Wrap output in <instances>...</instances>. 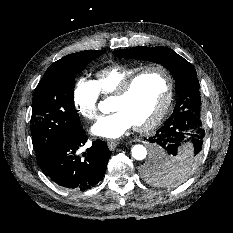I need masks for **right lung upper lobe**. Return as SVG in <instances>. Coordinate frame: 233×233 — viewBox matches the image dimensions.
<instances>
[{
  "label": "right lung upper lobe",
  "instance_id": "cb5924a9",
  "mask_svg": "<svg viewBox=\"0 0 233 233\" xmlns=\"http://www.w3.org/2000/svg\"><path fill=\"white\" fill-rule=\"evenodd\" d=\"M67 58H68V55L65 56V57H63V58H61L60 60L56 61L55 63H53V64L51 65V67L58 66L62 61L66 60Z\"/></svg>",
  "mask_w": 233,
  "mask_h": 233
}]
</instances>
